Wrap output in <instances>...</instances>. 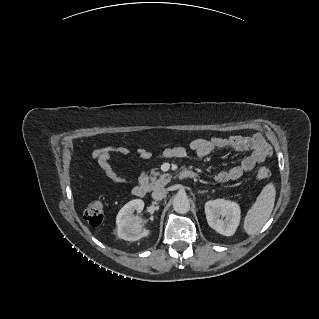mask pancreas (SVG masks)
<instances>
[{"mask_svg":"<svg viewBox=\"0 0 319 319\" xmlns=\"http://www.w3.org/2000/svg\"><path fill=\"white\" fill-rule=\"evenodd\" d=\"M170 179H171L170 174H162L160 172H154L150 175H146L144 184L150 190H155L157 188L165 186L168 182H170Z\"/></svg>","mask_w":319,"mask_h":319,"instance_id":"cf45deb5","label":"pancreas"}]
</instances>
